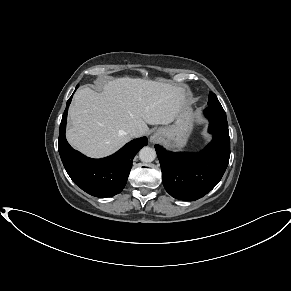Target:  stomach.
Wrapping results in <instances>:
<instances>
[{"instance_id": "stomach-1", "label": "stomach", "mask_w": 291, "mask_h": 291, "mask_svg": "<svg viewBox=\"0 0 291 291\" xmlns=\"http://www.w3.org/2000/svg\"><path fill=\"white\" fill-rule=\"evenodd\" d=\"M194 113L188 100H184L175 123L168 127L159 128L155 136L167 142L171 147L183 148L192 133Z\"/></svg>"}]
</instances>
